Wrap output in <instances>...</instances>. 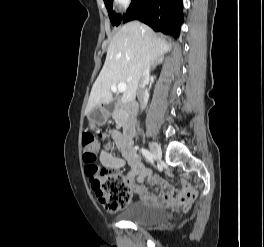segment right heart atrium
I'll list each match as a JSON object with an SVG mask.
<instances>
[{"mask_svg":"<svg viewBox=\"0 0 264 247\" xmlns=\"http://www.w3.org/2000/svg\"><path fill=\"white\" fill-rule=\"evenodd\" d=\"M121 7H127L132 0H115Z\"/></svg>","mask_w":264,"mask_h":247,"instance_id":"right-heart-atrium-1","label":"right heart atrium"}]
</instances>
